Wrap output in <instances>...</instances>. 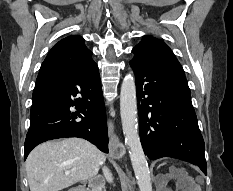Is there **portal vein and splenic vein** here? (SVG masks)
Returning a JSON list of instances; mask_svg holds the SVG:
<instances>
[{"mask_svg": "<svg viewBox=\"0 0 233 191\" xmlns=\"http://www.w3.org/2000/svg\"><path fill=\"white\" fill-rule=\"evenodd\" d=\"M65 174H66V175H69V174H70V172H69V171H66V172H65Z\"/></svg>", "mask_w": 233, "mask_h": 191, "instance_id": "obj_1", "label": "portal vein and splenic vein"}]
</instances>
